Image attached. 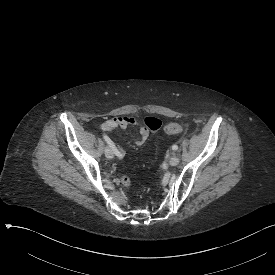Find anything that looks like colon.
<instances>
[{
  "mask_svg": "<svg viewBox=\"0 0 275 275\" xmlns=\"http://www.w3.org/2000/svg\"><path fill=\"white\" fill-rule=\"evenodd\" d=\"M164 132L166 134H181L183 127L180 124L170 123L164 126ZM121 184L125 187H130L132 184L131 178L129 176H123L121 178Z\"/></svg>",
  "mask_w": 275,
  "mask_h": 275,
  "instance_id": "5ec220e1",
  "label": "colon"
}]
</instances>
